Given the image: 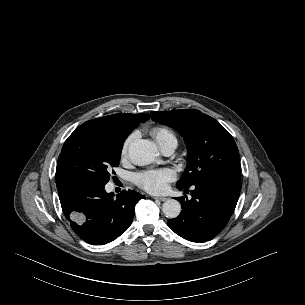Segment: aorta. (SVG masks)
Instances as JSON below:
<instances>
[{"instance_id": "aorta-1", "label": "aorta", "mask_w": 305, "mask_h": 305, "mask_svg": "<svg viewBox=\"0 0 305 305\" xmlns=\"http://www.w3.org/2000/svg\"><path fill=\"white\" fill-rule=\"evenodd\" d=\"M129 158L137 165H148L158 157L156 145L145 139H137L130 143ZM162 211L167 218H176L181 212V204L175 199H168L162 205Z\"/></svg>"}]
</instances>
